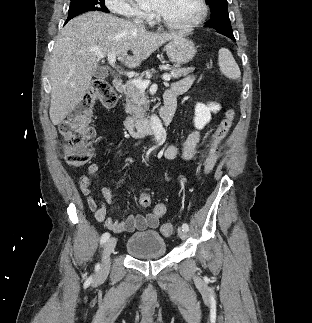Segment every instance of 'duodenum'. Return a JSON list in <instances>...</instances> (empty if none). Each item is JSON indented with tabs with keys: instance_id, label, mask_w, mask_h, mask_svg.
I'll return each instance as SVG.
<instances>
[{
	"instance_id": "1",
	"label": "duodenum",
	"mask_w": 312,
	"mask_h": 323,
	"mask_svg": "<svg viewBox=\"0 0 312 323\" xmlns=\"http://www.w3.org/2000/svg\"><path fill=\"white\" fill-rule=\"evenodd\" d=\"M115 89L124 92L126 89V80L123 77L116 78L113 83ZM177 110V94L167 91L164 95V103L159 111V119L162 124L169 125L173 122ZM124 127L126 131L135 138L148 135L154 130L152 121L149 118H138L127 116L124 119Z\"/></svg>"
}]
</instances>
